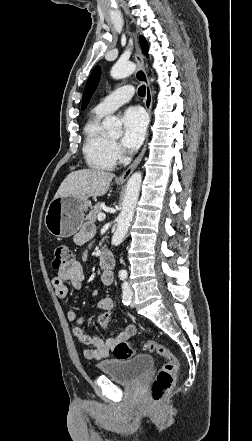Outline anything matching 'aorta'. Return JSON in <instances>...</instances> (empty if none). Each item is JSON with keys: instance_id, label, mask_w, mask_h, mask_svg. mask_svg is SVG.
<instances>
[{"instance_id": "762f6f07", "label": "aorta", "mask_w": 252, "mask_h": 441, "mask_svg": "<svg viewBox=\"0 0 252 441\" xmlns=\"http://www.w3.org/2000/svg\"><path fill=\"white\" fill-rule=\"evenodd\" d=\"M135 69L136 64L131 61H118L113 65L110 74L114 79H122L130 76ZM103 125L109 133L117 135L121 130L122 124L117 117L111 116L105 119ZM141 182V172H135L127 182L122 211L117 218V228L112 237V244L114 246L119 245L128 232L139 198Z\"/></svg>"}]
</instances>
